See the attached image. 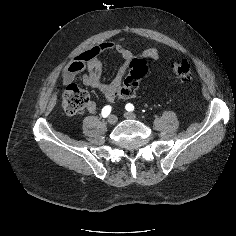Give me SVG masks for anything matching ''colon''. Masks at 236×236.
<instances>
[{"instance_id": "1", "label": "colon", "mask_w": 236, "mask_h": 236, "mask_svg": "<svg viewBox=\"0 0 236 236\" xmlns=\"http://www.w3.org/2000/svg\"><path fill=\"white\" fill-rule=\"evenodd\" d=\"M171 69L179 82L184 83L191 79V63L187 59L173 61ZM148 72V63L144 59H133L129 65V74L123 81L121 95H126L134 90L137 91L140 81ZM89 102L88 93L77 86L70 84L63 94V108L69 115H75L80 112Z\"/></svg>"}]
</instances>
